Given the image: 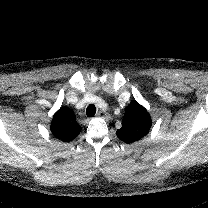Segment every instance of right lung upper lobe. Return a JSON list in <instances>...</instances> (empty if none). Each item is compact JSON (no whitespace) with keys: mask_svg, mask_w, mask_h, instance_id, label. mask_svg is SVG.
I'll return each mask as SVG.
<instances>
[{"mask_svg":"<svg viewBox=\"0 0 208 208\" xmlns=\"http://www.w3.org/2000/svg\"><path fill=\"white\" fill-rule=\"evenodd\" d=\"M51 132L63 142L75 139L81 131L73 111L67 107H61L53 116Z\"/></svg>","mask_w":208,"mask_h":208,"instance_id":"cb5924a9","label":"right lung upper lobe"}]
</instances>
